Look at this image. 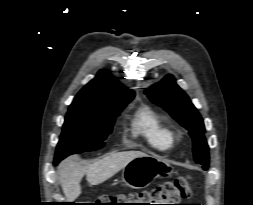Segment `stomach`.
<instances>
[{
  "mask_svg": "<svg viewBox=\"0 0 253 205\" xmlns=\"http://www.w3.org/2000/svg\"><path fill=\"white\" fill-rule=\"evenodd\" d=\"M172 172V166L165 160L145 155L134 158L123 168L121 181L131 188L141 189L149 186L155 178Z\"/></svg>",
  "mask_w": 253,
  "mask_h": 205,
  "instance_id": "0dacf381",
  "label": "stomach"
}]
</instances>
